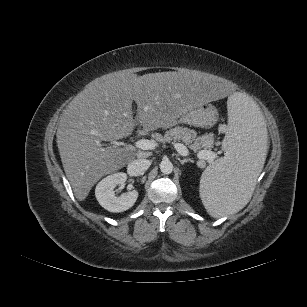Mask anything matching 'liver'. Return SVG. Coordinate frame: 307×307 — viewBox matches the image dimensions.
Returning a JSON list of instances; mask_svg holds the SVG:
<instances>
[{"label": "liver", "instance_id": "obj_1", "mask_svg": "<svg viewBox=\"0 0 307 307\" xmlns=\"http://www.w3.org/2000/svg\"><path fill=\"white\" fill-rule=\"evenodd\" d=\"M231 90L217 80L194 71L158 72L143 76L114 73L86 85L63 111L57 130V146L75 197L83 201L94 184L133 161L127 148L102 147V141L122 139L137 121L146 131L168 127L196 105L217 103ZM216 162V161H215ZM213 162L211 165H213Z\"/></svg>", "mask_w": 307, "mask_h": 307}]
</instances>
